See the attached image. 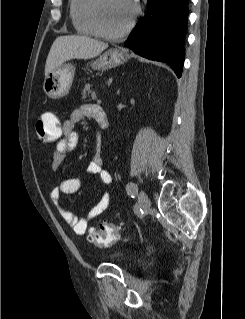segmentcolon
I'll return each mask as SVG.
<instances>
[{"instance_id":"colon-1","label":"colon","mask_w":245,"mask_h":319,"mask_svg":"<svg viewBox=\"0 0 245 319\" xmlns=\"http://www.w3.org/2000/svg\"><path fill=\"white\" fill-rule=\"evenodd\" d=\"M37 139L44 144L56 142L62 135L60 120L53 113L40 115L35 123ZM89 240L99 247H108L120 239V228L117 225L101 222L97 228L88 232Z\"/></svg>"}]
</instances>
